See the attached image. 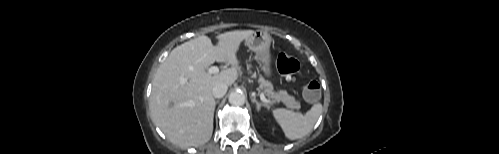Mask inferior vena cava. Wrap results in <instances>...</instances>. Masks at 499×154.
Instances as JSON below:
<instances>
[{
    "instance_id": "602c4592",
    "label": "inferior vena cava",
    "mask_w": 499,
    "mask_h": 154,
    "mask_svg": "<svg viewBox=\"0 0 499 154\" xmlns=\"http://www.w3.org/2000/svg\"><path fill=\"white\" fill-rule=\"evenodd\" d=\"M228 86L225 83H217L212 89V94L215 98L223 97L227 92Z\"/></svg>"
}]
</instances>
